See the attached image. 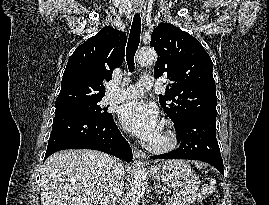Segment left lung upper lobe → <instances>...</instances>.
<instances>
[{"mask_svg":"<svg viewBox=\"0 0 269 205\" xmlns=\"http://www.w3.org/2000/svg\"><path fill=\"white\" fill-rule=\"evenodd\" d=\"M150 46L158 53L155 78L167 76L171 81L159 101L176 129L192 116L216 115L213 63L201 43L176 26L162 23L153 31Z\"/></svg>","mask_w":269,"mask_h":205,"instance_id":"left-lung-upper-lobe-1","label":"left lung upper lobe"}]
</instances>
